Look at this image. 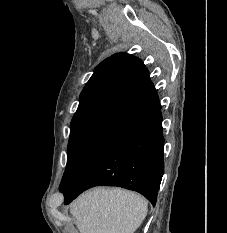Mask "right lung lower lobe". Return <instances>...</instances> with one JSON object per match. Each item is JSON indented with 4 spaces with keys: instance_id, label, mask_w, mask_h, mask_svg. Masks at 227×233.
<instances>
[{
    "instance_id": "right-lung-lower-lobe-1",
    "label": "right lung lower lobe",
    "mask_w": 227,
    "mask_h": 233,
    "mask_svg": "<svg viewBox=\"0 0 227 233\" xmlns=\"http://www.w3.org/2000/svg\"><path fill=\"white\" fill-rule=\"evenodd\" d=\"M161 110L118 134L91 162L75 184L62 191L65 204L94 186L137 191L153 205L164 172Z\"/></svg>"
}]
</instances>
